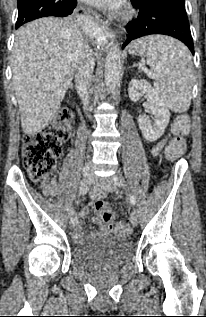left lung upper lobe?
<instances>
[{
    "instance_id": "1",
    "label": "left lung upper lobe",
    "mask_w": 206,
    "mask_h": 317,
    "mask_svg": "<svg viewBox=\"0 0 206 317\" xmlns=\"http://www.w3.org/2000/svg\"><path fill=\"white\" fill-rule=\"evenodd\" d=\"M143 1H157L162 3H170L174 5H178L181 7H185V0H131V3L133 5L140 4Z\"/></svg>"
}]
</instances>
